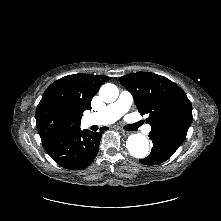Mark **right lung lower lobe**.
Here are the masks:
<instances>
[{
    "label": "right lung lower lobe",
    "mask_w": 221,
    "mask_h": 221,
    "mask_svg": "<svg viewBox=\"0 0 221 221\" xmlns=\"http://www.w3.org/2000/svg\"><path fill=\"white\" fill-rule=\"evenodd\" d=\"M101 139V132L80 129L63 135L44 145L50 157L61 167L81 170L95 159Z\"/></svg>",
    "instance_id": "98d812e1"
}]
</instances>
